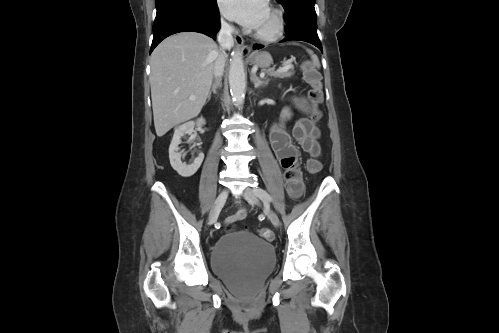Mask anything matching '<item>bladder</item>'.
<instances>
[{
	"instance_id": "bladder-1",
	"label": "bladder",
	"mask_w": 499,
	"mask_h": 333,
	"mask_svg": "<svg viewBox=\"0 0 499 333\" xmlns=\"http://www.w3.org/2000/svg\"><path fill=\"white\" fill-rule=\"evenodd\" d=\"M275 262L274 247L245 230L225 233L211 250L214 273L236 288L261 282Z\"/></svg>"
}]
</instances>
